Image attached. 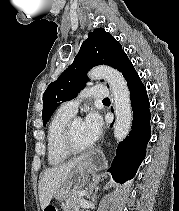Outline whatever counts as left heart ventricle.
Instances as JSON below:
<instances>
[{"label": "left heart ventricle", "instance_id": "1", "mask_svg": "<svg viewBox=\"0 0 179 211\" xmlns=\"http://www.w3.org/2000/svg\"><path fill=\"white\" fill-rule=\"evenodd\" d=\"M73 137L76 145L79 147H87L92 144V142L86 136L83 121L81 120H76L74 123Z\"/></svg>", "mask_w": 179, "mask_h": 211}]
</instances>
